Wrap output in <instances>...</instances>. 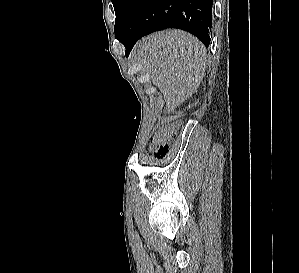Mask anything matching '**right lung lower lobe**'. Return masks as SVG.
<instances>
[{
	"mask_svg": "<svg viewBox=\"0 0 299 273\" xmlns=\"http://www.w3.org/2000/svg\"><path fill=\"white\" fill-rule=\"evenodd\" d=\"M213 0H134L117 39L126 56L138 39L155 31L178 28L210 44Z\"/></svg>",
	"mask_w": 299,
	"mask_h": 273,
	"instance_id": "obj_1",
	"label": "right lung lower lobe"
}]
</instances>
